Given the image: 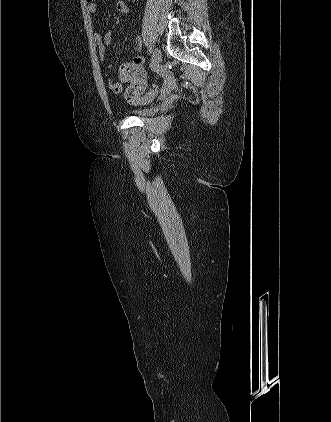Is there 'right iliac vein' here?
<instances>
[{
  "label": "right iliac vein",
  "instance_id": "63e3f726",
  "mask_svg": "<svg viewBox=\"0 0 331 422\" xmlns=\"http://www.w3.org/2000/svg\"><path fill=\"white\" fill-rule=\"evenodd\" d=\"M160 61H161V53H160V50L155 49L153 51L151 68L152 69H156L159 66Z\"/></svg>",
  "mask_w": 331,
  "mask_h": 422
}]
</instances>
